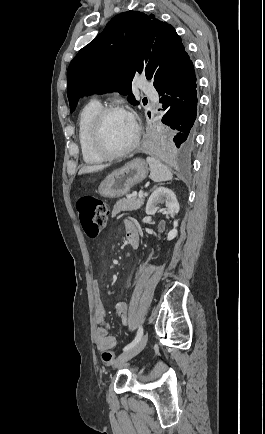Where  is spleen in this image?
<instances>
[{"mask_svg": "<svg viewBox=\"0 0 265 434\" xmlns=\"http://www.w3.org/2000/svg\"><path fill=\"white\" fill-rule=\"evenodd\" d=\"M147 164L150 168V178L153 182H167V180H172L173 174H171L169 168L164 166L160 160L156 158H146Z\"/></svg>", "mask_w": 265, "mask_h": 434, "instance_id": "obj_1", "label": "spleen"}]
</instances>
